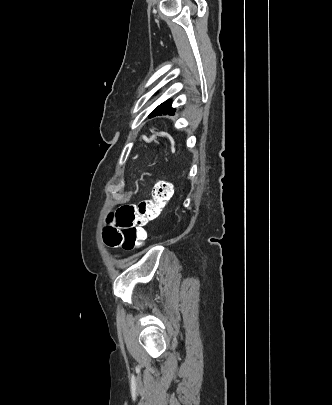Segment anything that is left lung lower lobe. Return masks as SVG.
I'll list each match as a JSON object with an SVG mask.
<instances>
[{"mask_svg": "<svg viewBox=\"0 0 332 405\" xmlns=\"http://www.w3.org/2000/svg\"><path fill=\"white\" fill-rule=\"evenodd\" d=\"M165 113L166 114H173L174 111L166 110V109H162L160 107H157L149 114V118H152V117L157 116V115L165 114Z\"/></svg>", "mask_w": 332, "mask_h": 405, "instance_id": "1", "label": "left lung lower lobe"}]
</instances>
